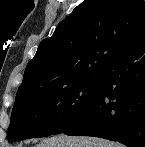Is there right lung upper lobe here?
<instances>
[{"mask_svg": "<svg viewBox=\"0 0 145 147\" xmlns=\"http://www.w3.org/2000/svg\"><path fill=\"white\" fill-rule=\"evenodd\" d=\"M144 36V0H84L39 44L17 94L56 90L102 73Z\"/></svg>", "mask_w": 145, "mask_h": 147, "instance_id": "right-lung-upper-lobe-1", "label": "right lung upper lobe"}]
</instances>
